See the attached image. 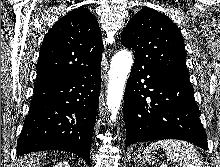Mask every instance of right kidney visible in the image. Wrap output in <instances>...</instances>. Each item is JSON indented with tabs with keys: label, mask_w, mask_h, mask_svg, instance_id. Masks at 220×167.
I'll return each mask as SVG.
<instances>
[{
	"label": "right kidney",
	"mask_w": 220,
	"mask_h": 167,
	"mask_svg": "<svg viewBox=\"0 0 220 167\" xmlns=\"http://www.w3.org/2000/svg\"><path fill=\"white\" fill-rule=\"evenodd\" d=\"M54 167H70V165L67 162H60L56 164Z\"/></svg>",
	"instance_id": "obj_1"
}]
</instances>
